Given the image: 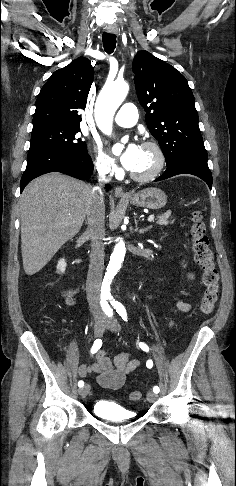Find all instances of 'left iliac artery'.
Wrapping results in <instances>:
<instances>
[{"instance_id": "1", "label": "left iliac artery", "mask_w": 236, "mask_h": 486, "mask_svg": "<svg viewBox=\"0 0 236 486\" xmlns=\"http://www.w3.org/2000/svg\"><path fill=\"white\" fill-rule=\"evenodd\" d=\"M111 304L114 306V308L116 309V311H117V313L119 314V316H121V318H122L124 321H127V312H126L125 307H124V306H123V305H122L120 302H117V301H115V300H113V301L111 302ZM139 346H140V348H141L143 351H145V352H148V351H149V347H148V346H147L145 343L140 342V343H139ZM146 366H147L148 368H152V366H153V362H152V360H148V361L146 362ZM153 391H154V392L157 394V393H159L160 389H159V387H158V386H154V387H153Z\"/></svg>"}]
</instances>
